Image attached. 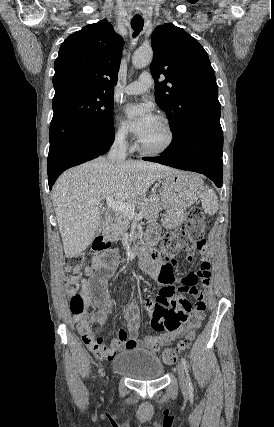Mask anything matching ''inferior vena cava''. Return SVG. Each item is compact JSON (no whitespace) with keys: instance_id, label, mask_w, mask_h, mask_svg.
<instances>
[{"instance_id":"inferior-vena-cava-1","label":"inferior vena cava","mask_w":274,"mask_h":427,"mask_svg":"<svg viewBox=\"0 0 274 427\" xmlns=\"http://www.w3.org/2000/svg\"><path fill=\"white\" fill-rule=\"evenodd\" d=\"M127 142L125 140V136H118L115 138V142L107 156L108 162H119V160H126L127 158Z\"/></svg>"}]
</instances>
